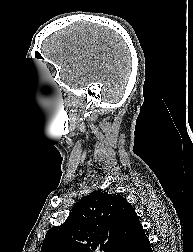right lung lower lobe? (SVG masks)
Returning a JSON list of instances; mask_svg holds the SVG:
<instances>
[{
    "mask_svg": "<svg viewBox=\"0 0 193 252\" xmlns=\"http://www.w3.org/2000/svg\"><path fill=\"white\" fill-rule=\"evenodd\" d=\"M122 252H152L150 242L143 229Z\"/></svg>",
    "mask_w": 193,
    "mask_h": 252,
    "instance_id": "obj_1",
    "label": "right lung lower lobe"
}]
</instances>
